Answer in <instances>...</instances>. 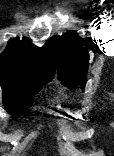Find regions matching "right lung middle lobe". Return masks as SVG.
<instances>
[{
    "mask_svg": "<svg viewBox=\"0 0 114 156\" xmlns=\"http://www.w3.org/2000/svg\"><path fill=\"white\" fill-rule=\"evenodd\" d=\"M52 78L49 76L34 77L19 82L0 80L3 90V104L7 112L11 115H17L29 108L33 103L30 97L37 94L42 85Z\"/></svg>",
    "mask_w": 114,
    "mask_h": 156,
    "instance_id": "obj_1",
    "label": "right lung middle lobe"
}]
</instances>
